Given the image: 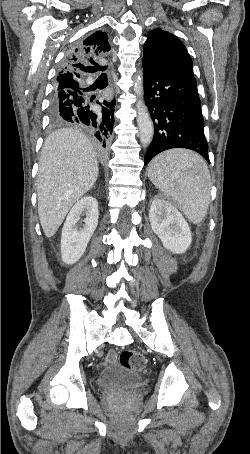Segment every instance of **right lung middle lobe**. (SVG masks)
<instances>
[{"instance_id": "dd1d6c3e", "label": "right lung middle lobe", "mask_w": 250, "mask_h": 454, "mask_svg": "<svg viewBox=\"0 0 250 454\" xmlns=\"http://www.w3.org/2000/svg\"><path fill=\"white\" fill-rule=\"evenodd\" d=\"M61 91H65L67 93H69L70 95H72L71 92H77L79 94H82L81 92V88L79 86V84H68L66 86H63V87H59L56 85L55 87V91H54V95L52 97V100H56L57 96H58V93L61 92ZM75 96L72 95V98H74ZM51 119H52V122L54 124H62V120L60 118H57V117H54L52 114H51Z\"/></svg>"}]
</instances>
